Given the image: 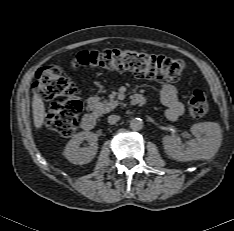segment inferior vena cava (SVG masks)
I'll return each instance as SVG.
<instances>
[{
	"label": "inferior vena cava",
	"instance_id": "602c4592",
	"mask_svg": "<svg viewBox=\"0 0 234 231\" xmlns=\"http://www.w3.org/2000/svg\"><path fill=\"white\" fill-rule=\"evenodd\" d=\"M119 120H120V116H118V115H110L108 117V123H110V124H115Z\"/></svg>",
	"mask_w": 234,
	"mask_h": 231
}]
</instances>
